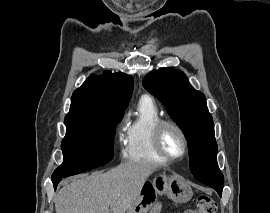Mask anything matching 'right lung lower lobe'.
I'll return each instance as SVG.
<instances>
[{"instance_id": "obj_1", "label": "right lung lower lobe", "mask_w": 270, "mask_h": 213, "mask_svg": "<svg viewBox=\"0 0 270 213\" xmlns=\"http://www.w3.org/2000/svg\"><path fill=\"white\" fill-rule=\"evenodd\" d=\"M61 179L62 178H59V179H56V180H52L55 189H56V187H57V185H58V183L60 182Z\"/></svg>"}]
</instances>
